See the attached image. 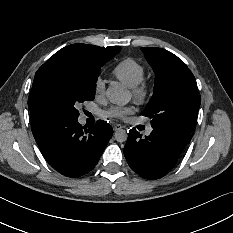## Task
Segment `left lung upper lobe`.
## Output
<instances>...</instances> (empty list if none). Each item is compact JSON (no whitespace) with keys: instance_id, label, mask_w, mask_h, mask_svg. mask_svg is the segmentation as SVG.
I'll return each mask as SVG.
<instances>
[{"instance_id":"5c2ea615","label":"left lung upper lobe","mask_w":233,"mask_h":233,"mask_svg":"<svg viewBox=\"0 0 233 233\" xmlns=\"http://www.w3.org/2000/svg\"><path fill=\"white\" fill-rule=\"evenodd\" d=\"M156 78L154 94L143 115L152 118L156 130L191 133L201 97L195 77L174 54L162 48H141Z\"/></svg>"}]
</instances>
